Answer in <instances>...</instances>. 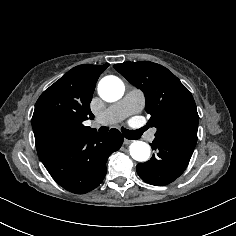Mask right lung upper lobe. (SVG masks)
I'll return each instance as SVG.
<instances>
[{
    "label": "right lung upper lobe",
    "mask_w": 236,
    "mask_h": 236,
    "mask_svg": "<svg viewBox=\"0 0 236 236\" xmlns=\"http://www.w3.org/2000/svg\"><path fill=\"white\" fill-rule=\"evenodd\" d=\"M108 65L76 66L41 94L31 121L37 150L61 138L96 131L83 122L94 118L90 102L97 79Z\"/></svg>",
    "instance_id": "obj_1"
}]
</instances>
